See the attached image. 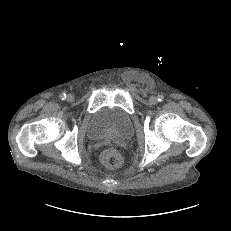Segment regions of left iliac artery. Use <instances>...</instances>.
<instances>
[{
    "mask_svg": "<svg viewBox=\"0 0 231 231\" xmlns=\"http://www.w3.org/2000/svg\"><path fill=\"white\" fill-rule=\"evenodd\" d=\"M163 100H164V96H163V95H159V96H158V101H159V102H162Z\"/></svg>",
    "mask_w": 231,
    "mask_h": 231,
    "instance_id": "1",
    "label": "left iliac artery"
}]
</instances>
